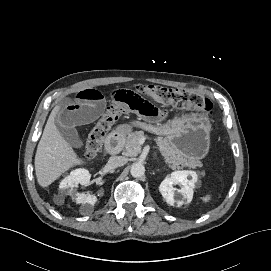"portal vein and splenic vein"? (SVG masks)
Here are the masks:
<instances>
[{"instance_id":"obj_1","label":"portal vein and splenic vein","mask_w":271,"mask_h":271,"mask_svg":"<svg viewBox=\"0 0 271 271\" xmlns=\"http://www.w3.org/2000/svg\"><path fill=\"white\" fill-rule=\"evenodd\" d=\"M139 142H140V144H142L144 142V139H141Z\"/></svg>"}]
</instances>
